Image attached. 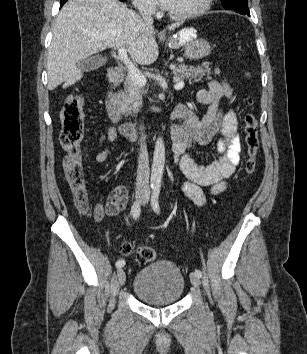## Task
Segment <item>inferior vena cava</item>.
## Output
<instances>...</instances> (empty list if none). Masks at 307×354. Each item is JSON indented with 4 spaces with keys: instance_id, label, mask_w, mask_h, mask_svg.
<instances>
[{
    "instance_id": "obj_1",
    "label": "inferior vena cava",
    "mask_w": 307,
    "mask_h": 354,
    "mask_svg": "<svg viewBox=\"0 0 307 354\" xmlns=\"http://www.w3.org/2000/svg\"><path fill=\"white\" fill-rule=\"evenodd\" d=\"M139 11L143 18V21L146 25L153 24L152 18V9L146 8L144 6L139 7ZM140 130L142 131L141 139H140V152L138 156V165H137V177H136V191L141 193H149V160H148V152L146 146V136L143 133L144 126H140Z\"/></svg>"
}]
</instances>
